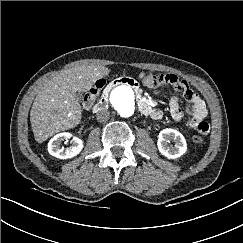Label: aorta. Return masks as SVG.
Returning a JSON list of instances; mask_svg holds the SVG:
<instances>
[{"mask_svg": "<svg viewBox=\"0 0 243 243\" xmlns=\"http://www.w3.org/2000/svg\"><path fill=\"white\" fill-rule=\"evenodd\" d=\"M110 103L123 117H130L135 111V95L131 87L118 85L110 93Z\"/></svg>", "mask_w": 243, "mask_h": 243, "instance_id": "aorta-1", "label": "aorta"}]
</instances>
